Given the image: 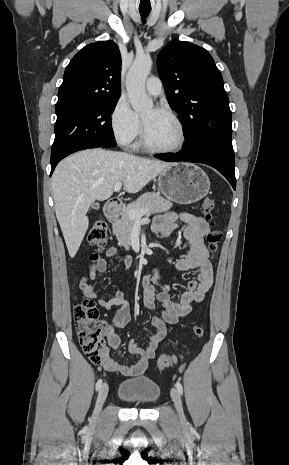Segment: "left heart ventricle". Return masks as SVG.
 <instances>
[{
  "label": "left heart ventricle",
  "instance_id": "obj_1",
  "mask_svg": "<svg viewBox=\"0 0 289 465\" xmlns=\"http://www.w3.org/2000/svg\"><path fill=\"white\" fill-rule=\"evenodd\" d=\"M141 116L150 144L159 148H170L178 143V128L167 114L147 108Z\"/></svg>",
  "mask_w": 289,
  "mask_h": 465
}]
</instances>
